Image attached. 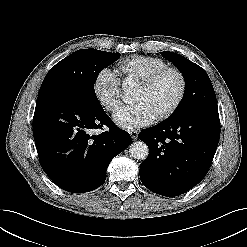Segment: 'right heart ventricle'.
Instances as JSON below:
<instances>
[{
    "instance_id": "obj_1",
    "label": "right heart ventricle",
    "mask_w": 247,
    "mask_h": 247,
    "mask_svg": "<svg viewBox=\"0 0 247 247\" xmlns=\"http://www.w3.org/2000/svg\"><path fill=\"white\" fill-rule=\"evenodd\" d=\"M167 64L160 58L150 56H135L120 61L115 67V73L123 85L139 83L149 74L166 67Z\"/></svg>"
}]
</instances>
